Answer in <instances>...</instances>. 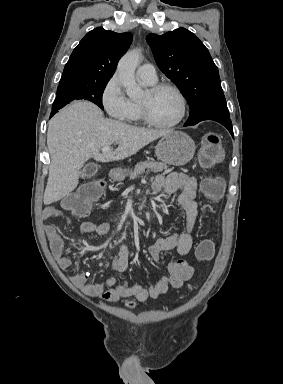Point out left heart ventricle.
<instances>
[{"label":"left heart ventricle","mask_w":283,"mask_h":384,"mask_svg":"<svg viewBox=\"0 0 283 384\" xmlns=\"http://www.w3.org/2000/svg\"><path fill=\"white\" fill-rule=\"evenodd\" d=\"M139 101L147 104L151 117L159 123H170L180 113L179 99L170 90H161L152 94L147 89Z\"/></svg>","instance_id":"1"}]
</instances>
